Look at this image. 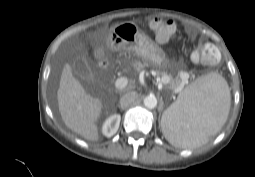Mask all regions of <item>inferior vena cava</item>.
<instances>
[{"instance_id": "602c4592", "label": "inferior vena cava", "mask_w": 255, "mask_h": 177, "mask_svg": "<svg viewBox=\"0 0 255 177\" xmlns=\"http://www.w3.org/2000/svg\"><path fill=\"white\" fill-rule=\"evenodd\" d=\"M138 95L136 92H127L120 98V106L126 108L133 104L137 99Z\"/></svg>"}]
</instances>
